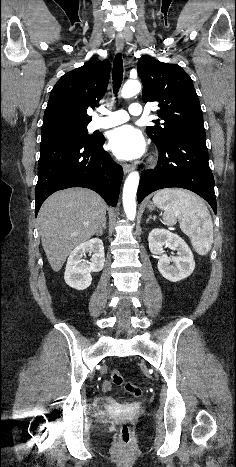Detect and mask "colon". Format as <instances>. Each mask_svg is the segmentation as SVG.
Wrapping results in <instances>:
<instances>
[{
	"mask_svg": "<svg viewBox=\"0 0 236 467\" xmlns=\"http://www.w3.org/2000/svg\"><path fill=\"white\" fill-rule=\"evenodd\" d=\"M112 381L115 385L123 387L128 393L134 397L142 396V389L138 386L131 384L127 381L119 372L118 369H114L111 374ZM119 438L123 444H130L132 440V432L128 424H121L119 427Z\"/></svg>",
	"mask_w": 236,
	"mask_h": 467,
	"instance_id": "obj_1",
	"label": "colon"
}]
</instances>
